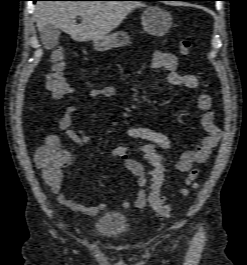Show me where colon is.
Returning a JSON list of instances; mask_svg holds the SVG:
<instances>
[{
  "label": "colon",
  "mask_w": 247,
  "mask_h": 265,
  "mask_svg": "<svg viewBox=\"0 0 247 265\" xmlns=\"http://www.w3.org/2000/svg\"><path fill=\"white\" fill-rule=\"evenodd\" d=\"M193 41L190 36L184 37L178 43V49L181 55L187 56L192 49ZM65 67V54L62 48H55L51 53V68L47 75V88L52 92L56 99L69 97L73 93V88L65 81L63 70ZM141 152L151 166L149 171L150 193L148 200L152 208L162 216H167L172 211L170 204L164 203L161 196V187L165 181L166 168L161 156L151 144H143ZM127 148L125 146H116L111 152L114 159H125ZM34 156L40 164L50 170L55 171L65 167V156L62 151L49 149L45 145L38 147L34 151ZM198 170L193 169L189 172L185 188L181 190L182 195H188L191 189L197 188Z\"/></svg>",
  "instance_id": "colon-1"
}]
</instances>
